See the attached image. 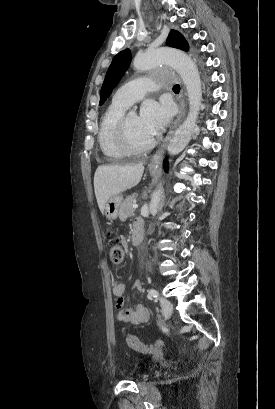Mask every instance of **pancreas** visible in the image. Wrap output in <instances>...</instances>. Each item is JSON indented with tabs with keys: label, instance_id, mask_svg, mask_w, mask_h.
I'll list each match as a JSON object with an SVG mask.
<instances>
[{
	"label": "pancreas",
	"instance_id": "1",
	"mask_svg": "<svg viewBox=\"0 0 275 409\" xmlns=\"http://www.w3.org/2000/svg\"><path fill=\"white\" fill-rule=\"evenodd\" d=\"M136 196H138L137 192H133L132 196H127V198L123 200L122 205H120L119 209L120 221H126L127 217H131V215H134V209L132 205H134L133 200H135Z\"/></svg>",
	"mask_w": 275,
	"mask_h": 409
}]
</instances>
